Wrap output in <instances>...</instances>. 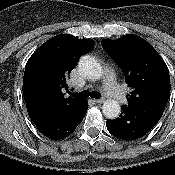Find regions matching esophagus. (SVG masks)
<instances>
[{
    "mask_svg": "<svg viewBox=\"0 0 175 175\" xmlns=\"http://www.w3.org/2000/svg\"><path fill=\"white\" fill-rule=\"evenodd\" d=\"M104 99H105V95L101 93L100 98L99 99H95L94 102L101 103Z\"/></svg>",
    "mask_w": 175,
    "mask_h": 175,
    "instance_id": "1",
    "label": "esophagus"
}]
</instances>
